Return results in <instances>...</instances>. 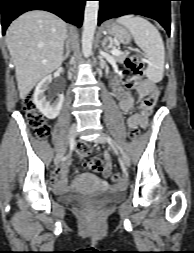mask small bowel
I'll list each match as a JSON object with an SVG mask.
<instances>
[{
  "label": "small bowel",
  "mask_w": 194,
  "mask_h": 253,
  "mask_svg": "<svg viewBox=\"0 0 194 253\" xmlns=\"http://www.w3.org/2000/svg\"><path fill=\"white\" fill-rule=\"evenodd\" d=\"M123 86L118 83L114 85V91L119 102V108L123 113H129L139 99L147 98L156 93L155 83L151 80H140L138 77H123ZM131 89H135V94H131ZM148 124V114L136 113L127 119L128 128H146ZM106 163L103 175L108 177L113 167V160L110 155L105 157ZM70 159L61 164L52 174V182L55 190L63 192L67 190V173Z\"/></svg>",
  "instance_id": "obj_1"
}]
</instances>
